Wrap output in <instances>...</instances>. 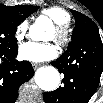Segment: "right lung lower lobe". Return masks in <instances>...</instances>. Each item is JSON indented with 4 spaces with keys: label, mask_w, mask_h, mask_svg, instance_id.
Segmentation results:
<instances>
[{
    "label": "right lung lower lobe",
    "mask_w": 103,
    "mask_h": 103,
    "mask_svg": "<svg viewBox=\"0 0 103 103\" xmlns=\"http://www.w3.org/2000/svg\"><path fill=\"white\" fill-rule=\"evenodd\" d=\"M17 50L10 53H0V103H14L18 97V88L27 82L34 74L28 61H17ZM10 62H9V61ZM4 63H9L5 65Z\"/></svg>",
    "instance_id": "98d812e1"
}]
</instances>
